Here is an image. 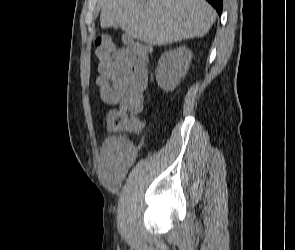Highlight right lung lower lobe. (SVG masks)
Masks as SVG:
<instances>
[{
  "mask_svg": "<svg viewBox=\"0 0 295 250\" xmlns=\"http://www.w3.org/2000/svg\"><path fill=\"white\" fill-rule=\"evenodd\" d=\"M218 12L219 15L222 13L223 1L222 0H207Z\"/></svg>",
  "mask_w": 295,
  "mask_h": 250,
  "instance_id": "1",
  "label": "right lung lower lobe"
}]
</instances>
